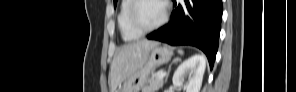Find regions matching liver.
<instances>
[{"label": "liver", "mask_w": 296, "mask_h": 92, "mask_svg": "<svg viewBox=\"0 0 296 92\" xmlns=\"http://www.w3.org/2000/svg\"><path fill=\"white\" fill-rule=\"evenodd\" d=\"M158 42L141 40L123 45L115 54L111 68V91L115 92L118 85L124 82L147 60L150 51Z\"/></svg>", "instance_id": "6515ba94"}]
</instances>
